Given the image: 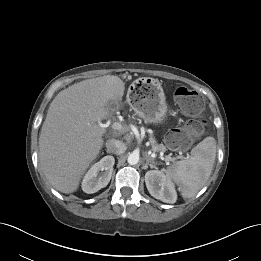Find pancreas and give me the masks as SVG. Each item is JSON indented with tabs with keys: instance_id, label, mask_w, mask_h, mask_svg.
I'll return each mask as SVG.
<instances>
[{
	"instance_id": "pancreas-1",
	"label": "pancreas",
	"mask_w": 261,
	"mask_h": 261,
	"mask_svg": "<svg viewBox=\"0 0 261 261\" xmlns=\"http://www.w3.org/2000/svg\"><path fill=\"white\" fill-rule=\"evenodd\" d=\"M150 142L152 144L153 150L154 151H162L165 152L166 151V147L163 144H157L154 138H150ZM171 159H169L167 156L165 157V161H169Z\"/></svg>"
}]
</instances>
